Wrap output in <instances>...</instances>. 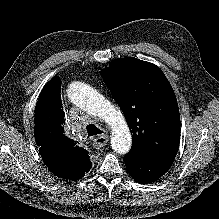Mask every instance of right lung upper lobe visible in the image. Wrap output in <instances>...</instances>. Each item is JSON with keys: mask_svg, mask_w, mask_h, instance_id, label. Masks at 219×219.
<instances>
[{"mask_svg": "<svg viewBox=\"0 0 219 219\" xmlns=\"http://www.w3.org/2000/svg\"><path fill=\"white\" fill-rule=\"evenodd\" d=\"M61 80L53 77L43 88L36 107L34 136L48 170L55 176L77 180L91 168L88 151L64 134Z\"/></svg>", "mask_w": 219, "mask_h": 219, "instance_id": "obj_1", "label": "right lung upper lobe"}]
</instances>
